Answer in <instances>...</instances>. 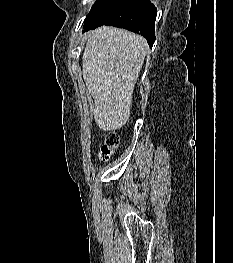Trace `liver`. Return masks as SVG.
<instances>
[{
    "label": "liver",
    "instance_id": "obj_1",
    "mask_svg": "<svg viewBox=\"0 0 233 263\" xmlns=\"http://www.w3.org/2000/svg\"><path fill=\"white\" fill-rule=\"evenodd\" d=\"M147 50L144 37L123 29L103 26L89 32L82 74L94 98L95 122L102 130H117L128 121Z\"/></svg>",
    "mask_w": 233,
    "mask_h": 263
}]
</instances>
